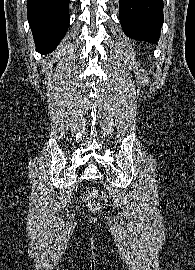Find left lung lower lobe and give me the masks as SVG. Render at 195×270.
<instances>
[{
	"label": "left lung lower lobe",
	"mask_w": 195,
	"mask_h": 270,
	"mask_svg": "<svg viewBox=\"0 0 195 270\" xmlns=\"http://www.w3.org/2000/svg\"><path fill=\"white\" fill-rule=\"evenodd\" d=\"M163 0H120L119 18L132 39L156 44L163 24Z\"/></svg>",
	"instance_id": "left-lung-lower-lobe-1"
}]
</instances>
